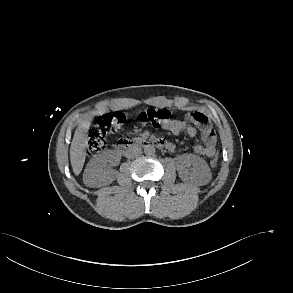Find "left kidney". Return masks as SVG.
Here are the masks:
<instances>
[{"mask_svg":"<svg viewBox=\"0 0 293 293\" xmlns=\"http://www.w3.org/2000/svg\"><path fill=\"white\" fill-rule=\"evenodd\" d=\"M192 166V168H189ZM177 171L183 181L199 184L211 178V171L206 161L194 154H183L178 157Z\"/></svg>","mask_w":293,"mask_h":293,"instance_id":"5707ae66","label":"left kidney"}]
</instances>
